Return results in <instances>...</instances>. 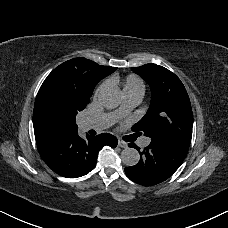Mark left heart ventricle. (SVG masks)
I'll return each mask as SVG.
<instances>
[{"mask_svg":"<svg viewBox=\"0 0 228 228\" xmlns=\"http://www.w3.org/2000/svg\"><path fill=\"white\" fill-rule=\"evenodd\" d=\"M120 103H121V100H120ZM123 114H124V110L123 109H119L118 111H116L114 113L113 119L114 120L120 119L123 116Z\"/></svg>","mask_w":228,"mask_h":228,"instance_id":"obj_1","label":"left heart ventricle"}]
</instances>
